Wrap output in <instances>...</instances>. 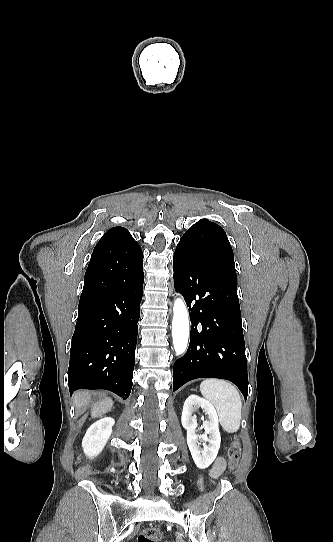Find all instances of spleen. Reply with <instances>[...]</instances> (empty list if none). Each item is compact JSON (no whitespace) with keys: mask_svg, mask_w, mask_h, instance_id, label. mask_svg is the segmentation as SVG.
Masks as SVG:
<instances>
[{"mask_svg":"<svg viewBox=\"0 0 333 542\" xmlns=\"http://www.w3.org/2000/svg\"><path fill=\"white\" fill-rule=\"evenodd\" d=\"M200 392L215 406L223 430L228 434L238 432L242 418V400L237 388L225 380H203Z\"/></svg>","mask_w":333,"mask_h":542,"instance_id":"3e777b00","label":"spleen"}]
</instances>
